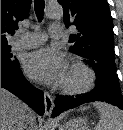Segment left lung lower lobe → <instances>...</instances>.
I'll return each mask as SVG.
<instances>
[{
	"mask_svg": "<svg viewBox=\"0 0 123 130\" xmlns=\"http://www.w3.org/2000/svg\"><path fill=\"white\" fill-rule=\"evenodd\" d=\"M94 101L110 103L123 110V98L120 91L112 87L96 84L95 89L92 92L83 96L76 98L57 97L55 107L52 111V116L55 117L63 111Z\"/></svg>",
	"mask_w": 123,
	"mask_h": 130,
	"instance_id": "obj_1",
	"label": "left lung lower lobe"
}]
</instances>
